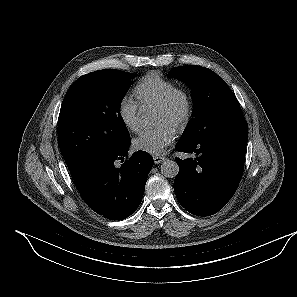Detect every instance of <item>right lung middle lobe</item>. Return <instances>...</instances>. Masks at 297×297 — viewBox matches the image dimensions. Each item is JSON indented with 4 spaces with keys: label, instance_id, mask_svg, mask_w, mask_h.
Wrapping results in <instances>:
<instances>
[{
    "label": "right lung middle lobe",
    "instance_id": "dd1d6c3e",
    "mask_svg": "<svg viewBox=\"0 0 297 297\" xmlns=\"http://www.w3.org/2000/svg\"><path fill=\"white\" fill-rule=\"evenodd\" d=\"M133 77L120 70H99L69 88L58 118L59 145L69 170L94 153L115 151L130 141L120 105Z\"/></svg>",
    "mask_w": 297,
    "mask_h": 297
}]
</instances>
